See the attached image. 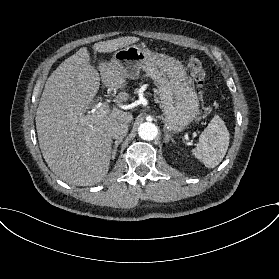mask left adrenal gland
<instances>
[{
	"instance_id": "1",
	"label": "left adrenal gland",
	"mask_w": 279,
	"mask_h": 279,
	"mask_svg": "<svg viewBox=\"0 0 279 279\" xmlns=\"http://www.w3.org/2000/svg\"><path fill=\"white\" fill-rule=\"evenodd\" d=\"M165 133V137H164V143H168L169 141H172L173 143H175V140L171 137V135H169L166 131H164Z\"/></svg>"
}]
</instances>
